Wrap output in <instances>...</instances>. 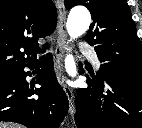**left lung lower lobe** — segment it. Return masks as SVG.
I'll return each instance as SVG.
<instances>
[{"mask_svg": "<svg viewBox=\"0 0 142 128\" xmlns=\"http://www.w3.org/2000/svg\"><path fill=\"white\" fill-rule=\"evenodd\" d=\"M86 76L89 87L81 89L76 98L77 128H142L141 78Z\"/></svg>", "mask_w": 142, "mask_h": 128, "instance_id": "0a47b994", "label": "left lung lower lobe"}]
</instances>
